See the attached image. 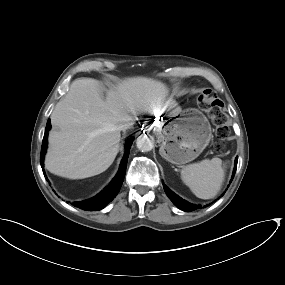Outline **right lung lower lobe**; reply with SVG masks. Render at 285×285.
<instances>
[{"mask_svg": "<svg viewBox=\"0 0 285 285\" xmlns=\"http://www.w3.org/2000/svg\"><path fill=\"white\" fill-rule=\"evenodd\" d=\"M50 128H51V122L49 119L46 125L45 134H44V138L42 141V147H41L40 163H41L42 168H43V163H44V156H45L46 149H47V136H48V131L50 130ZM133 140L134 138H130L126 141L125 154L121 161L120 168L116 176L110 182V184L95 197L84 200V201L75 202L73 204L74 206L81 208L82 210H86V211H97V210L103 209L109 202H111L115 198V196L120 191V188L124 180L129 151L133 143Z\"/></svg>", "mask_w": 285, "mask_h": 285, "instance_id": "right-lung-lower-lobe-1", "label": "right lung lower lobe"}]
</instances>
